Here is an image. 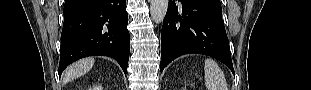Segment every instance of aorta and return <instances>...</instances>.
<instances>
[{
	"label": "aorta",
	"mask_w": 311,
	"mask_h": 90,
	"mask_svg": "<svg viewBox=\"0 0 311 90\" xmlns=\"http://www.w3.org/2000/svg\"><path fill=\"white\" fill-rule=\"evenodd\" d=\"M168 9V0H151L150 15L155 23H161L164 20Z\"/></svg>",
	"instance_id": "1"
}]
</instances>
